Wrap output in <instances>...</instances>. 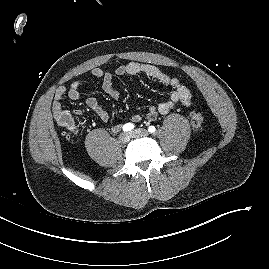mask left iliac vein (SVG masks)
I'll return each mask as SVG.
<instances>
[{
  "instance_id": "4c4485c4",
  "label": "left iliac vein",
  "mask_w": 269,
  "mask_h": 269,
  "mask_svg": "<svg viewBox=\"0 0 269 269\" xmlns=\"http://www.w3.org/2000/svg\"><path fill=\"white\" fill-rule=\"evenodd\" d=\"M130 135L133 137V138H139V137H147L149 135L148 131L145 130V129H136V130H133Z\"/></svg>"
}]
</instances>
